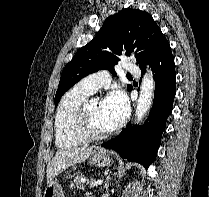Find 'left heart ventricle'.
Returning a JSON list of instances; mask_svg holds the SVG:
<instances>
[{"instance_id": "1", "label": "left heart ventricle", "mask_w": 209, "mask_h": 197, "mask_svg": "<svg viewBox=\"0 0 209 197\" xmlns=\"http://www.w3.org/2000/svg\"><path fill=\"white\" fill-rule=\"evenodd\" d=\"M101 105L102 101L94 100L89 106V117L91 125L96 131H106L111 129V127L103 117Z\"/></svg>"}]
</instances>
